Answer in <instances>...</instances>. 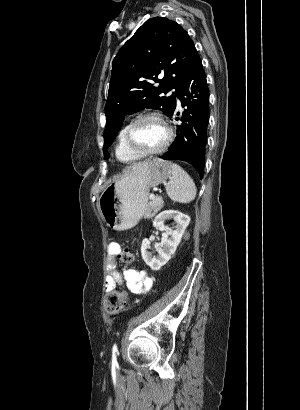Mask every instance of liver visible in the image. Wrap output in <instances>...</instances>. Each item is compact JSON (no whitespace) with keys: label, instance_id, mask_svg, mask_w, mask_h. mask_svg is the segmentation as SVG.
Returning a JSON list of instances; mask_svg holds the SVG:
<instances>
[{"label":"liver","instance_id":"obj_1","mask_svg":"<svg viewBox=\"0 0 300 410\" xmlns=\"http://www.w3.org/2000/svg\"><path fill=\"white\" fill-rule=\"evenodd\" d=\"M147 162H143V163H137V164H134L132 167H139V166H141V165H144V164H146ZM131 167V168H132Z\"/></svg>","mask_w":300,"mask_h":410}]
</instances>
